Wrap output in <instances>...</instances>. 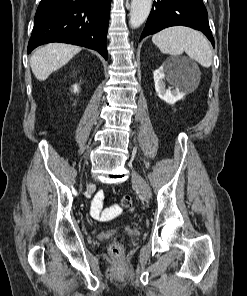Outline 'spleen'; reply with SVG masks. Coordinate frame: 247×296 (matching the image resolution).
<instances>
[{"label":"spleen","mask_w":247,"mask_h":296,"mask_svg":"<svg viewBox=\"0 0 247 296\" xmlns=\"http://www.w3.org/2000/svg\"><path fill=\"white\" fill-rule=\"evenodd\" d=\"M152 42L162 53L179 56L185 52L203 67L208 68L212 64V51L208 40L194 29L169 27L154 34Z\"/></svg>","instance_id":"3e777b00"}]
</instances>
